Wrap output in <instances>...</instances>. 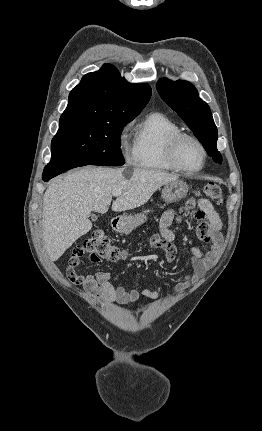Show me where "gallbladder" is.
I'll list each match as a JSON object with an SVG mask.
<instances>
[{"label":"gallbladder","instance_id":"bac80fb5","mask_svg":"<svg viewBox=\"0 0 262 431\" xmlns=\"http://www.w3.org/2000/svg\"><path fill=\"white\" fill-rule=\"evenodd\" d=\"M97 219V216L96 215H92V220H96Z\"/></svg>","mask_w":262,"mask_h":431}]
</instances>
